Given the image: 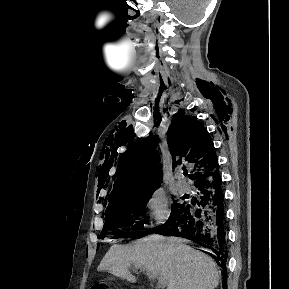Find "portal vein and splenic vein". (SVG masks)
I'll use <instances>...</instances> for the list:
<instances>
[{
    "label": "portal vein and splenic vein",
    "instance_id": "portal-vein-and-splenic-vein-1",
    "mask_svg": "<svg viewBox=\"0 0 289 289\" xmlns=\"http://www.w3.org/2000/svg\"><path fill=\"white\" fill-rule=\"evenodd\" d=\"M158 286L159 287H162V286H164V283L159 279V281H158Z\"/></svg>",
    "mask_w": 289,
    "mask_h": 289
}]
</instances>
